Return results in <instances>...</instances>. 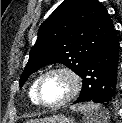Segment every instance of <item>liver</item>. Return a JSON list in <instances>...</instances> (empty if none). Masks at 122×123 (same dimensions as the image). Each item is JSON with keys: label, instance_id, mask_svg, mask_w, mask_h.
<instances>
[{"label": "liver", "instance_id": "6515ba94", "mask_svg": "<svg viewBox=\"0 0 122 123\" xmlns=\"http://www.w3.org/2000/svg\"><path fill=\"white\" fill-rule=\"evenodd\" d=\"M48 118L45 119H36V120H29L27 123H45Z\"/></svg>", "mask_w": 122, "mask_h": 123}]
</instances>
